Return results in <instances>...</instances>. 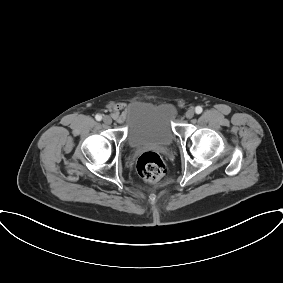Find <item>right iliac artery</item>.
Here are the masks:
<instances>
[{"label":"right iliac artery","instance_id":"1","mask_svg":"<svg viewBox=\"0 0 283 283\" xmlns=\"http://www.w3.org/2000/svg\"><path fill=\"white\" fill-rule=\"evenodd\" d=\"M95 119H96L97 121H100V120L102 119V116L99 115V114H97V115L95 116Z\"/></svg>","mask_w":283,"mask_h":283}]
</instances>
